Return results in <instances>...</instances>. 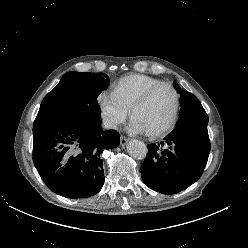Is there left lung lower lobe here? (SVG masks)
Wrapping results in <instances>:
<instances>
[{
  "mask_svg": "<svg viewBox=\"0 0 248 248\" xmlns=\"http://www.w3.org/2000/svg\"><path fill=\"white\" fill-rule=\"evenodd\" d=\"M148 150L141 166L145 185L166 195L178 193L196 182L206 166L210 153L207 124L177 126Z\"/></svg>",
  "mask_w": 248,
  "mask_h": 248,
  "instance_id": "0a47b994",
  "label": "left lung lower lobe"
}]
</instances>
